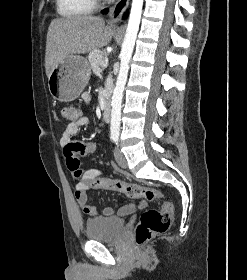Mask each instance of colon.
I'll return each instance as SVG.
<instances>
[{
	"mask_svg": "<svg viewBox=\"0 0 247 280\" xmlns=\"http://www.w3.org/2000/svg\"><path fill=\"white\" fill-rule=\"evenodd\" d=\"M62 116L69 123H75L80 117L78 110L73 106L62 108ZM97 144L93 142H75L71 141L64 149L66 164L76 179H81L84 172L80 169L78 155L86 156L95 153ZM82 186L87 191L94 188H104L112 191L124 193L132 199L143 198L147 201L163 199L160 209H147L139 219L135 229V239L137 244L141 245L149 241L156 235L166 232L172 223L173 205L165 199L164 194L155 188L143 187L137 183H125L119 180H110L108 176H95L84 178Z\"/></svg>",
	"mask_w": 247,
	"mask_h": 280,
	"instance_id": "1",
	"label": "colon"
}]
</instances>
